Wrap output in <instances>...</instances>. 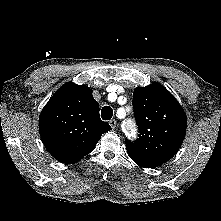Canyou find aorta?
I'll use <instances>...</instances> for the list:
<instances>
[{"label": "aorta", "instance_id": "1", "mask_svg": "<svg viewBox=\"0 0 221 221\" xmlns=\"http://www.w3.org/2000/svg\"><path fill=\"white\" fill-rule=\"evenodd\" d=\"M127 133L129 134V135H133V133H134V130H133V128H127Z\"/></svg>", "mask_w": 221, "mask_h": 221}]
</instances>
